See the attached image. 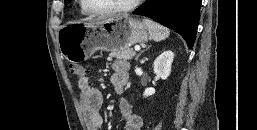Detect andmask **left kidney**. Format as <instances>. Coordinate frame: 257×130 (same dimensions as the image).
<instances>
[{"label": "left kidney", "instance_id": "5707ae66", "mask_svg": "<svg viewBox=\"0 0 257 130\" xmlns=\"http://www.w3.org/2000/svg\"><path fill=\"white\" fill-rule=\"evenodd\" d=\"M173 59L174 53L170 50L163 52L156 58L153 70L158 78L166 80L169 77ZM153 94H155V88H147L145 89L143 96L149 97Z\"/></svg>", "mask_w": 257, "mask_h": 130}]
</instances>
